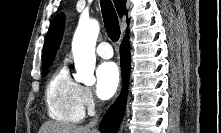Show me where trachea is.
Listing matches in <instances>:
<instances>
[{
	"mask_svg": "<svg viewBox=\"0 0 221 133\" xmlns=\"http://www.w3.org/2000/svg\"><path fill=\"white\" fill-rule=\"evenodd\" d=\"M101 9L106 32L113 42H117L120 37V26L115 8L111 0H101Z\"/></svg>",
	"mask_w": 221,
	"mask_h": 133,
	"instance_id": "1",
	"label": "trachea"
}]
</instances>
